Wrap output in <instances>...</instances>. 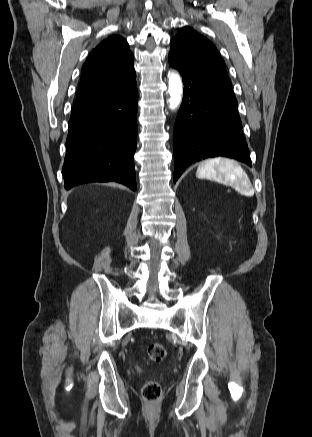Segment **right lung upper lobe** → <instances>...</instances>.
Wrapping results in <instances>:
<instances>
[{"instance_id":"cb5924a9","label":"right lung upper lobe","mask_w":312,"mask_h":437,"mask_svg":"<svg viewBox=\"0 0 312 437\" xmlns=\"http://www.w3.org/2000/svg\"><path fill=\"white\" fill-rule=\"evenodd\" d=\"M135 75L133 55L124 38L112 35L85 61L73 108L96 101L122 87Z\"/></svg>"}]
</instances>
